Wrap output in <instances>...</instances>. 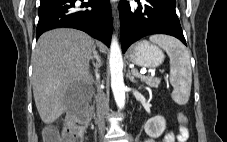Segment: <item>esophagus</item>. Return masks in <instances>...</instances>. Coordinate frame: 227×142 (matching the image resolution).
<instances>
[{
	"instance_id": "obj_1",
	"label": "esophagus",
	"mask_w": 227,
	"mask_h": 142,
	"mask_svg": "<svg viewBox=\"0 0 227 142\" xmlns=\"http://www.w3.org/2000/svg\"><path fill=\"white\" fill-rule=\"evenodd\" d=\"M112 15H113L114 26H115V28H118V26H119V22H118L119 15H118V5L116 3H114L112 5Z\"/></svg>"
}]
</instances>
